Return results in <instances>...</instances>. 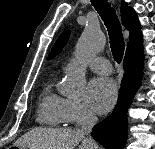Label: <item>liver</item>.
Instances as JSON below:
<instances>
[{
  "instance_id": "obj_1",
  "label": "liver",
  "mask_w": 155,
  "mask_h": 149,
  "mask_svg": "<svg viewBox=\"0 0 155 149\" xmlns=\"http://www.w3.org/2000/svg\"><path fill=\"white\" fill-rule=\"evenodd\" d=\"M77 145L79 149H92L81 130L47 127L33 128L14 143L22 149H75Z\"/></svg>"
}]
</instances>
